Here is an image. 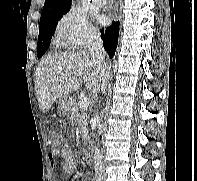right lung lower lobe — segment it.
I'll use <instances>...</instances> for the list:
<instances>
[{"label": "right lung lower lobe", "instance_id": "98d812e1", "mask_svg": "<svg viewBox=\"0 0 197 181\" xmlns=\"http://www.w3.org/2000/svg\"><path fill=\"white\" fill-rule=\"evenodd\" d=\"M119 36V21L113 22L112 25L104 29H101V38L103 40V46L108 52L110 58H113Z\"/></svg>", "mask_w": 197, "mask_h": 181}]
</instances>
